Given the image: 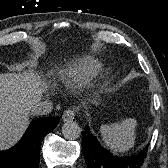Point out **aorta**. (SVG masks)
<instances>
[{"label": "aorta", "mask_w": 168, "mask_h": 168, "mask_svg": "<svg viewBox=\"0 0 168 168\" xmlns=\"http://www.w3.org/2000/svg\"><path fill=\"white\" fill-rule=\"evenodd\" d=\"M62 134L66 139H77L81 134V128L75 121H67L62 127Z\"/></svg>", "instance_id": "aorta-1"}]
</instances>
